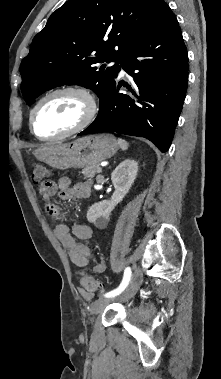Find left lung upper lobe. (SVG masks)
<instances>
[{"instance_id":"left-lung-upper-lobe-1","label":"left lung upper lobe","mask_w":221,"mask_h":379,"mask_svg":"<svg viewBox=\"0 0 221 379\" xmlns=\"http://www.w3.org/2000/svg\"><path fill=\"white\" fill-rule=\"evenodd\" d=\"M164 4V0L67 1L34 37L21 63V91L27 104L65 84L90 88L101 97L118 63L152 28ZM111 61L116 64L105 68Z\"/></svg>"}]
</instances>
